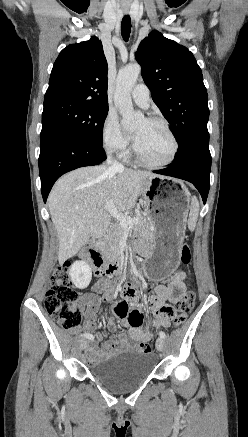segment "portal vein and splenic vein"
<instances>
[{"label": "portal vein and splenic vein", "instance_id": "1", "mask_svg": "<svg viewBox=\"0 0 248 437\" xmlns=\"http://www.w3.org/2000/svg\"><path fill=\"white\" fill-rule=\"evenodd\" d=\"M104 209L107 212H109V214L112 217H114L116 220H118L120 225L124 229H130L134 224H138L139 223V218L138 217L131 218L130 216L124 215L120 211H118V209L115 207V205H114L112 200L108 201L105 204Z\"/></svg>", "mask_w": 248, "mask_h": 437}]
</instances>
